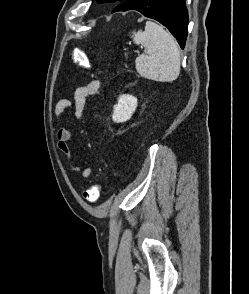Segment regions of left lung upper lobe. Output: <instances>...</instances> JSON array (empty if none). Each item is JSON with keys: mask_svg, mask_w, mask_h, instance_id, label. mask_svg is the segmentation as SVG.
<instances>
[{"mask_svg": "<svg viewBox=\"0 0 249 294\" xmlns=\"http://www.w3.org/2000/svg\"><path fill=\"white\" fill-rule=\"evenodd\" d=\"M97 1L103 3V2H115V1H120V2H122V1H124V0H97Z\"/></svg>", "mask_w": 249, "mask_h": 294, "instance_id": "obj_1", "label": "left lung upper lobe"}]
</instances>
